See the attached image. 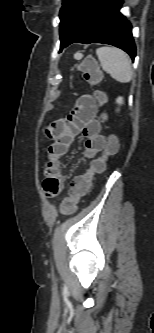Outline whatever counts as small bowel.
Masks as SVG:
<instances>
[{
	"label": "small bowel",
	"instance_id": "small-bowel-1",
	"mask_svg": "<svg viewBox=\"0 0 154 333\" xmlns=\"http://www.w3.org/2000/svg\"><path fill=\"white\" fill-rule=\"evenodd\" d=\"M98 106L89 95L80 96L70 114L51 123L46 135L53 140L47 149L43 190L47 197L54 198L63 189L66 175L62 170L63 157L78 135L85 138L84 156L94 159L105 147L106 137L96 118Z\"/></svg>",
	"mask_w": 154,
	"mask_h": 333
}]
</instances>
